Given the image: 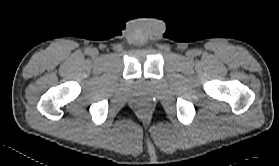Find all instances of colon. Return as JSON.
Wrapping results in <instances>:
<instances>
[{"label":"colon","instance_id":"obj_1","mask_svg":"<svg viewBox=\"0 0 279 166\" xmlns=\"http://www.w3.org/2000/svg\"><path fill=\"white\" fill-rule=\"evenodd\" d=\"M147 108H148V107H147L146 105H143V106L140 107V110H141V111H146Z\"/></svg>","mask_w":279,"mask_h":166}]
</instances>
